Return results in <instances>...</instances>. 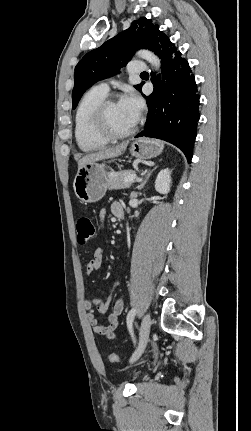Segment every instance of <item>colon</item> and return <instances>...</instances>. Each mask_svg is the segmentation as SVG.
Segmentation results:
<instances>
[{"label": "colon", "mask_w": 251, "mask_h": 431, "mask_svg": "<svg viewBox=\"0 0 251 431\" xmlns=\"http://www.w3.org/2000/svg\"><path fill=\"white\" fill-rule=\"evenodd\" d=\"M76 229L77 241L80 245H87L95 237V226L90 217L86 215H82L77 219ZM108 359L112 363H117L122 360V357L115 353H111L109 354Z\"/></svg>", "instance_id": "1"}]
</instances>
